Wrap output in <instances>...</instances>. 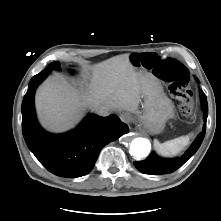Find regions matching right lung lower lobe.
I'll use <instances>...</instances> for the list:
<instances>
[{"label": "right lung lower lobe", "instance_id": "obj_1", "mask_svg": "<svg viewBox=\"0 0 221 221\" xmlns=\"http://www.w3.org/2000/svg\"><path fill=\"white\" fill-rule=\"evenodd\" d=\"M51 70L35 75L22 103V131L28 148L51 173L68 178L88 174L94 167L100 150L129 131L116 115H88L74 130L50 134L38 124L34 109L36 87Z\"/></svg>", "mask_w": 221, "mask_h": 221}]
</instances>
